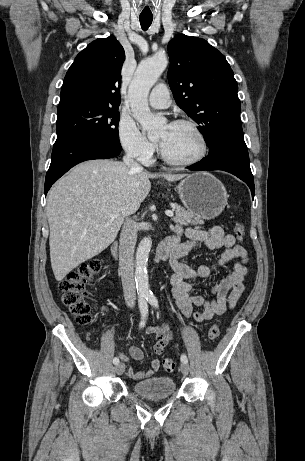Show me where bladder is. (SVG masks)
<instances>
[{
    "mask_svg": "<svg viewBox=\"0 0 305 461\" xmlns=\"http://www.w3.org/2000/svg\"><path fill=\"white\" fill-rule=\"evenodd\" d=\"M134 393L138 396L151 399H164L176 392L173 378L168 376H155L135 382L132 385Z\"/></svg>",
    "mask_w": 305,
    "mask_h": 461,
    "instance_id": "obj_1",
    "label": "bladder"
}]
</instances>
